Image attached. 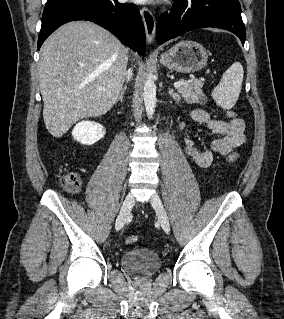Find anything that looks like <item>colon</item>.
Returning a JSON list of instances; mask_svg holds the SVG:
<instances>
[{
  "mask_svg": "<svg viewBox=\"0 0 284 319\" xmlns=\"http://www.w3.org/2000/svg\"><path fill=\"white\" fill-rule=\"evenodd\" d=\"M227 116L230 119L237 118V115L234 111H229L227 113ZM238 153H232L227 157V162L229 164H233L238 160ZM62 186L71 193H76L80 186H81V178L78 173H68L67 175L63 176L61 179ZM138 237L137 236H129L126 238L125 242L128 245L134 244L137 242Z\"/></svg>",
  "mask_w": 284,
  "mask_h": 319,
  "instance_id": "1",
  "label": "colon"
}]
</instances>
